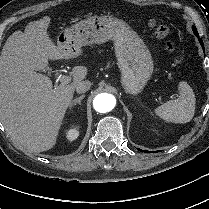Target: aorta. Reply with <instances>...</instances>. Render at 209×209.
<instances>
[{
	"label": "aorta",
	"mask_w": 209,
	"mask_h": 209,
	"mask_svg": "<svg viewBox=\"0 0 209 209\" xmlns=\"http://www.w3.org/2000/svg\"><path fill=\"white\" fill-rule=\"evenodd\" d=\"M116 104V99L112 94L100 93L93 99V107L99 113L110 112Z\"/></svg>",
	"instance_id": "762f6f07"
}]
</instances>
